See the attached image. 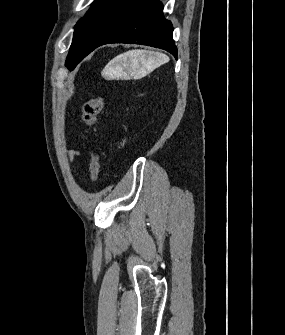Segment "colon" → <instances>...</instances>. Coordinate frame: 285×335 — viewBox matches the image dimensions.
I'll return each instance as SVG.
<instances>
[{
  "label": "colon",
  "mask_w": 285,
  "mask_h": 335,
  "mask_svg": "<svg viewBox=\"0 0 285 335\" xmlns=\"http://www.w3.org/2000/svg\"><path fill=\"white\" fill-rule=\"evenodd\" d=\"M104 105L103 97L97 95L94 96L83 104L82 107V120L88 130L89 140V153H90V176L94 183L99 180L100 164L99 155L93 145L92 131L96 125L99 114L101 113Z\"/></svg>",
  "instance_id": "obj_1"
}]
</instances>
